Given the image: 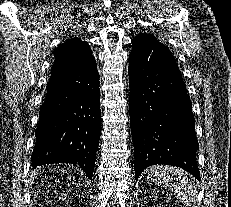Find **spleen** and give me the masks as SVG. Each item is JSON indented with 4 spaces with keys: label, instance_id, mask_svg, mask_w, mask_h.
<instances>
[{
    "label": "spleen",
    "instance_id": "obj_1",
    "mask_svg": "<svg viewBox=\"0 0 231 207\" xmlns=\"http://www.w3.org/2000/svg\"><path fill=\"white\" fill-rule=\"evenodd\" d=\"M148 179L174 194L184 205L195 202L193 185L184 171L171 166H153L147 169Z\"/></svg>",
    "mask_w": 231,
    "mask_h": 207
}]
</instances>
